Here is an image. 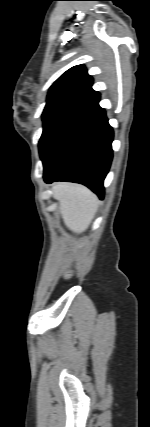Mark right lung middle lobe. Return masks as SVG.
I'll return each mask as SVG.
<instances>
[{
    "label": "right lung middle lobe",
    "instance_id": "obj_1",
    "mask_svg": "<svg viewBox=\"0 0 150 427\" xmlns=\"http://www.w3.org/2000/svg\"><path fill=\"white\" fill-rule=\"evenodd\" d=\"M79 112L80 110L71 108H50L44 110L42 114L44 122L43 133L39 141L40 157L43 163L58 137Z\"/></svg>",
    "mask_w": 150,
    "mask_h": 427
}]
</instances>
